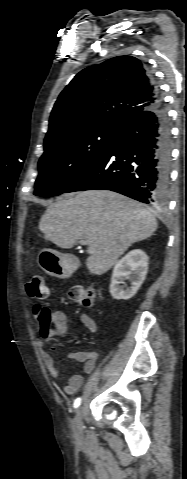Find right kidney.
<instances>
[{
	"mask_svg": "<svg viewBox=\"0 0 187 479\" xmlns=\"http://www.w3.org/2000/svg\"><path fill=\"white\" fill-rule=\"evenodd\" d=\"M148 256L135 249L127 253L114 266L110 283V293L113 299L129 300L132 298L145 280L148 271ZM124 280L131 282V287L126 290L119 284Z\"/></svg>",
	"mask_w": 187,
	"mask_h": 479,
	"instance_id": "ca27d5eb",
	"label": "right kidney"
}]
</instances>
